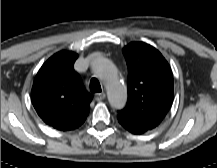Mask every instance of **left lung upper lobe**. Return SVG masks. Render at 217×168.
Returning a JSON list of instances; mask_svg holds the SVG:
<instances>
[{"label":"left lung upper lobe","instance_id":"5c2ea615","mask_svg":"<svg viewBox=\"0 0 217 168\" xmlns=\"http://www.w3.org/2000/svg\"><path fill=\"white\" fill-rule=\"evenodd\" d=\"M128 75V102L118 111V121L141 133L156 128L173 101V75L162 54L143 42L124 47Z\"/></svg>","mask_w":217,"mask_h":168}]
</instances>
